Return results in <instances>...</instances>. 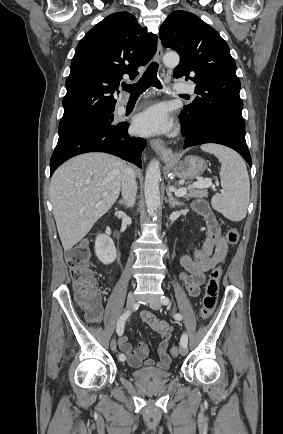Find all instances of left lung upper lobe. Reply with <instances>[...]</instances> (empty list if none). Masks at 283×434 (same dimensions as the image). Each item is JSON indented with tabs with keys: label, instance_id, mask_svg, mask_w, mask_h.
I'll return each mask as SVG.
<instances>
[{
	"label": "left lung upper lobe",
	"instance_id": "5c2ea615",
	"mask_svg": "<svg viewBox=\"0 0 283 434\" xmlns=\"http://www.w3.org/2000/svg\"><path fill=\"white\" fill-rule=\"evenodd\" d=\"M159 35L165 48L180 55L173 77L196 84L198 96L179 115L184 128L190 133L216 121L245 128L236 63L219 33L196 15L178 10L163 22Z\"/></svg>",
	"mask_w": 283,
	"mask_h": 434
}]
</instances>
